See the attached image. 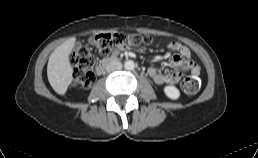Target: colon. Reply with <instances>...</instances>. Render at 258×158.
Wrapping results in <instances>:
<instances>
[{
    "label": "colon",
    "mask_w": 258,
    "mask_h": 158,
    "mask_svg": "<svg viewBox=\"0 0 258 158\" xmlns=\"http://www.w3.org/2000/svg\"><path fill=\"white\" fill-rule=\"evenodd\" d=\"M151 42L152 38L150 36L103 33L91 37L89 45L101 55H110L119 49L135 48ZM70 62L74 67V85L81 89L90 87L94 83L93 67L96 60L89 47L81 46L75 49L70 56ZM181 86L185 93L195 94L199 91L201 82L199 77L192 75L184 78Z\"/></svg>",
    "instance_id": "obj_1"
}]
</instances>
